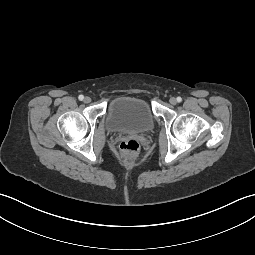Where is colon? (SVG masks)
<instances>
[{
	"instance_id": "colon-1",
	"label": "colon",
	"mask_w": 255,
	"mask_h": 255,
	"mask_svg": "<svg viewBox=\"0 0 255 255\" xmlns=\"http://www.w3.org/2000/svg\"><path fill=\"white\" fill-rule=\"evenodd\" d=\"M119 148L123 157L132 160L140 150V142L135 138H126L120 142Z\"/></svg>"
}]
</instances>
